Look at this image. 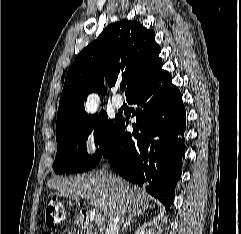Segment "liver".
<instances>
[{"instance_id": "1", "label": "liver", "mask_w": 241, "mask_h": 234, "mask_svg": "<svg viewBox=\"0 0 241 234\" xmlns=\"http://www.w3.org/2000/svg\"><path fill=\"white\" fill-rule=\"evenodd\" d=\"M47 186L75 201H69L70 205L79 203V199L99 202L104 220H109L118 207L129 214L145 211L152 199L121 177L98 170L68 179H50Z\"/></svg>"}]
</instances>
